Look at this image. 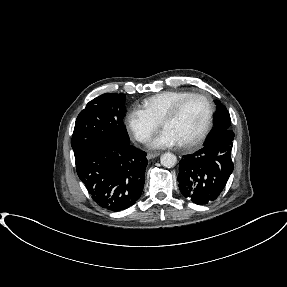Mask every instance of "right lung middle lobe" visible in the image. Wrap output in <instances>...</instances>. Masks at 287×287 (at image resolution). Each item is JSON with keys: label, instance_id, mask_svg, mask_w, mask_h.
I'll list each match as a JSON object with an SVG mask.
<instances>
[{"label": "right lung middle lobe", "instance_id": "1", "mask_svg": "<svg viewBox=\"0 0 287 287\" xmlns=\"http://www.w3.org/2000/svg\"><path fill=\"white\" fill-rule=\"evenodd\" d=\"M124 103L125 95L114 93L100 95L87 103L75 122L71 140L74 155L98 142L130 143L123 124Z\"/></svg>", "mask_w": 287, "mask_h": 287}]
</instances>
